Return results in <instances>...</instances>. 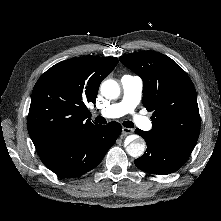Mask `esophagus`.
Listing matches in <instances>:
<instances>
[{
    "label": "esophagus",
    "instance_id": "1",
    "mask_svg": "<svg viewBox=\"0 0 221 221\" xmlns=\"http://www.w3.org/2000/svg\"><path fill=\"white\" fill-rule=\"evenodd\" d=\"M133 130L130 129V128H126V127H123L122 128V134L123 135H128V134H132Z\"/></svg>",
    "mask_w": 221,
    "mask_h": 221
}]
</instances>
